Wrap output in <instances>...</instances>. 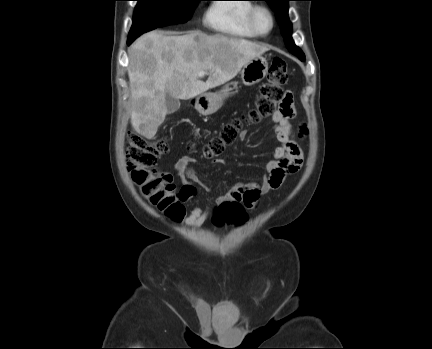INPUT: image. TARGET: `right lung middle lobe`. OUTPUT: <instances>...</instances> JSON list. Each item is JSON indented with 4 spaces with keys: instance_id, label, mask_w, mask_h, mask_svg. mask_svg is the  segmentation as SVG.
Returning <instances> with one entry per match:
<instances>
[{
    "instance_id": "1",
    "label": "right lung middle lobe",
    "mask_w": 432,
    "mask_h": 349,
    "mask_svg": "<svg viewBox=\"0 0 432 349\" xmlns=\"http://www.w3.org/2000/svg\"><path fill=\"white\" fill-rule=\"evenodd\" d=\"M138 1L129 32L128 43L157 27L184 23L202 0H136Z\"/></svg>"
}]
</instances>
